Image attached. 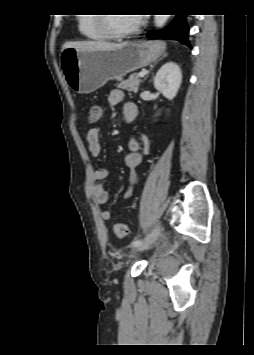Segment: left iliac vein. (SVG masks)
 Here are the masks:
<instances>
[{"label":"left iliac vein","mask_w":254,"mask_h":355,"mask_svg":"<svg viewBox=\"0 0 254 355\" xmlns=\"http://www.w3.org/2000/svg\"><path fill=\"white\" fill-rule=\"evenodd\" d=\"M162 228L158 227L156 230L139 246L136 247V252H141L147 249L156 238L161 234Z\"/></svg>","instance_id":"4c4485c4"}]
</instances>
